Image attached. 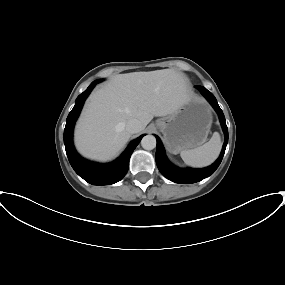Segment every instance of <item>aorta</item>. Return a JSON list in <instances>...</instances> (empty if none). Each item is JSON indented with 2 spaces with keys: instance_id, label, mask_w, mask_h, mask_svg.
Masks as SVG:
<instances>
[{
  "instance_id": "1",
  "label": "aorta",
  "mask_w": 285,
  "mask_h": 285,
  "mask_svg": "<svg viewBox=\"0 0 285 285\" xmlns=\"http://www.w3.org/2000/svg\"><path fill=\"white\" fill-rule=\"evenodd\" d=\"M141 146L145 150H153L156 147V138L153 135H146L141 140Z\"/></svg>"
}]
</instances>
